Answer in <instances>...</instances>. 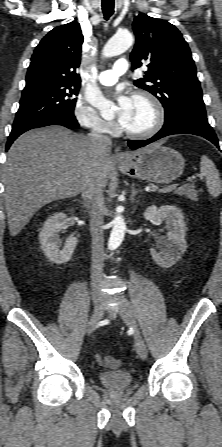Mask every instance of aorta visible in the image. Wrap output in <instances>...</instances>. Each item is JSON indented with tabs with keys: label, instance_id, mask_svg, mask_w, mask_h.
Instances as JSON below:
<instances>
[{
	"label": "aorta",
	"instance_id": "obj_1",
	"mask_svg": "<svg viewBox=\"0 0 222 447\" xmlns=\"http://www.w3.org/2000/svg\"><path fill=\"white\" fill-rule=\"evenodd\" d=\"M133 41V36L129 31H119L106 43L103 49V55L105 57L117 56L128 50L132 46ZM86 100L102 114L112 108V103L105 99L101 92L95 87L88 88L86 92ZM112 225L113 228L108 241V248L110 250H115L123 241L126 230V224L119 209H117V216L112 221Z\"/></svg>",
	"mask_w": 222,
	"mask_h": 447
}]
</instances>
